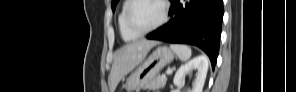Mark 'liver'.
<instances>
[{
    "label": "liver",
    "mask_w": 296,
    "mask_h": 92,
    "mask_svg": "<svg viewBox=\"0 0 296 92\" xmlns=\"http://www.w3.org/2000/svg\"><path fill=\"white\" fill-rule=\"evenodd\" d=\"M157 44V41L141 40L126 44L117 51L109 77L110 92H114L120 80L137 67Z\"/></svg>",
    "instance_id": "liver-1"
}]
</instances>
